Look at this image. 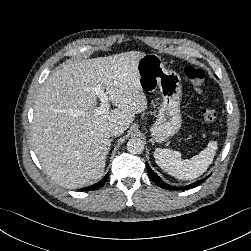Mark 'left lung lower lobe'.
Instances as JSON below:
<instances>
[{"mask_svg":"<svg viewBox=\"0 0 251 251\" xmlns=\"http://www.w3.org/2000/svg\"><path fill=\"white\" fill-rule=\"evenodd\" d=\"M147 165V170H148V174L150 176V178L161 188L167 189V190H188L191 188H194L196 186H198L199 184H201L203 181H205L208 177L203 178L197 182H194L190 185L184 186V187H175V186H171L168 185L167 183H165L148 165V163H146Z\"/></svg>","mask_w":251,"mask_h":251,"instance_id":"1","label":"left lung lower lobe"}]
</instances>
